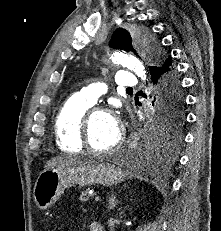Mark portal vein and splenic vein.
<instances>
[{
	"instance_id": "18ae733b",
	"label": "portal vein and splenic vein",
	"mask_w": 221,
	"mask_h": 231,
	"mask_svg": "<svg viewBox=\"0 0 221 231\" xmlns=\"http://www.w3.org/2000/svg\"><path fill=\"white\" fill-rule=\"evenodd\" d=\"M94 199H95V201H100L101 197L99 195H95Z\"/></svg>"
}]
</instances>
